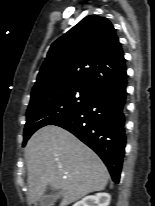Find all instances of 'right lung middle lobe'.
<instances>
[{
	"instance_id": "1",
	"label": "right lung middle lobe",
	"mask_w": 155,
	"mask_h": 206,
	"mask_svg": "<svg viewBox=\"0 0 155 206\" xmlns=\"http://www.w3.org/2000/svg\"><path fill=\"white\" fill-rule=\"evenodd\" d=\"M99 90L84 85L65 86L31 95L27 109L23 146L39 128L53 125L87 105Z\"/></svg>"
}]
</instances>
